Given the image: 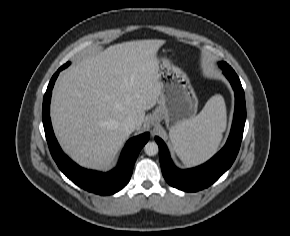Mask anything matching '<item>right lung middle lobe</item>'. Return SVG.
<instances>
[{"mask_svg":"<svg viewBox=\"0 0 290 236\" xmlns=\"http://www.w3.org/2000/svg\"><path fill=\"white\" fill-rule=\"evenodd\" d=\"M70 63H66L65 65H63V68H66Z\"/></svg>","mask_w":290,"mask_h":236,"instance_id":"obj_1","label":"right lung middle lobe"}]
</instances>
